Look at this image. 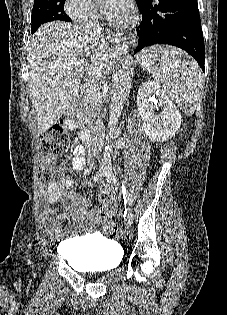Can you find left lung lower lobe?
<instances>
[{"instance_id": "0a47b994", "label": "left lung lower lobe", "mask_w": 227, "mask_h": 315, "mask_svg": "<svg viewBox=\"0 0 227 315\" xmlns=\"http://www.w3.org/2000/svg\"><path fill=\"white\" fill-rule=\"evenodd\" d=\"M137 53L146 46L169 44L192 55L204 71L205 49L197 0H137Z\"/></svg>"}]
</instances>
